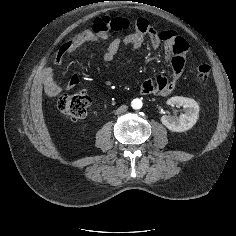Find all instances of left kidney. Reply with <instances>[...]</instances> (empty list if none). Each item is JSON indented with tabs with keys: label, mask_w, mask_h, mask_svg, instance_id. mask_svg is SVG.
Here are the masks:
<instances>
[{
	"label": "left kidney",
	"mask_w": 236,
	"mask_h": 236,
	"mask_svg": "<svg viewBox=\"0 0 236 236\" xmlns=\"http://www.w3.org/2000/svg\"><path fill=\"white\" fill-rule=\"evenodd\" d=\"M170 106H183L185 113L180 116L163 115L161 122L173 132H185L191 129L199 118V105L191 98L175 96L168 99Z\"/></svg>",
	"instance_id": "obj_1"
}]
</instances>
